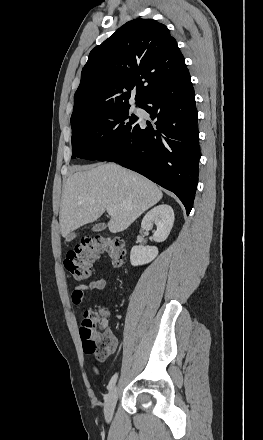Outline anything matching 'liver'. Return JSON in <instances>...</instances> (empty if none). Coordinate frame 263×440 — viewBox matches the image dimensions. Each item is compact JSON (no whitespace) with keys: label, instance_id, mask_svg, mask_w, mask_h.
<instances>
[{"label":"liver","instance_id":"liver-1","mask_svg":"<svg viewBox=\"0 0 263 440\" xmlns=\"http://www.w3.org/2000/svg\"><path fill=\"white\" fill-rule=\"evenodd\" d=\"M162 197L155 183L114 163L78 167L68 177L63 190L61 234L67 237L79 227L96 221L107 205L115 206L107 225L109 231H124Z\"/></svg>","mask_w":263,"mask_h":440}]
</instances>
